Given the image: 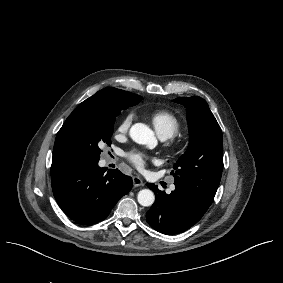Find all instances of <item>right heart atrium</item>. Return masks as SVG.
Here are the masks:
<instances>
[{"label": "right heart atrium", "instance_id": "d8ad5b80", "mask_svg": "<svg viewBox=\"0 0 283 283\" xmlns=\"http://www.w3.org/2000/svg\"><path fill=\"white\" fill-rule=\"evenodd\" d=\"M132 119V115L128 114L122 120L115 124L114 137L116 139L120 138L121 136H124L128 132L132 123Z\"/></svg>", "mask_w": 283, "mask_h": 283}]
</instances>
